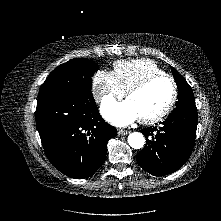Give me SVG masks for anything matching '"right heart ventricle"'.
<instances>
[{"mask_svg":"<svg viewBox=\"0 0 221 221\" xmlns=\"http://www.w3.org/2000/svg\"><path fill=\"white\" fill-rule=\"evenodd\" d=\"M113 70L124 92L150 75L163 73L155 62L148 59L119 60L113 64Z\"/></svg>","mask_w":221,"mask_h":221,"instance_id":"obj_1","label":"right heart ventricle"}]
</instances>
